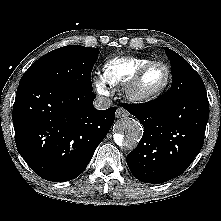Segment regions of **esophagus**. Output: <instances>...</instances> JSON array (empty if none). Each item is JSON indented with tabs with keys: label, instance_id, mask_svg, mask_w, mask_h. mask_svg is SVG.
Masks as SVG:
<instances>
[{
	"label": "esophagus",
	"instance_id": "obj_1",
	"mask_svg": "<svg viewBox=\"0 0 221 221\" xmlns=\"http://www.w3.org/2000/svg\"><path fill=\"white\" fill-rule=\"evenodd\" d=\"M126 116H129V113L125 109L118 108L116 110V117L117 118H122V117H126Z\"/></svg>",
	"mask_w": 221,
	"mask_h": 221
}]
</instances>
